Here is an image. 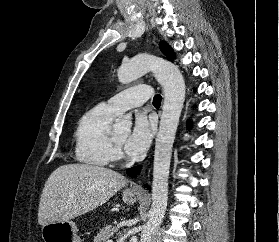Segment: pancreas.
<instances>
[{
	"mask_svg": "<svg viewBox=\"0 0 279 242\" xmlns=\"http://www.w3.org/2000/svg\"><path fill=\"white\" fill-rule=\"evenodd\" d=\"M117 230V227L107 225L97 234L94 238V242H107V240L110 239Z\"/></svg>",
	"mask_w": 279,
	"mask_h": 242,
	"instance_id": "obj_1",
	"label": "pancreas"
}]
</instances>
